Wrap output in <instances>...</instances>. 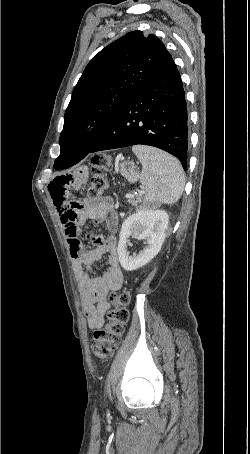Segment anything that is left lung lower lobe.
<instances>
[{"mask_svg": "<svg viewBox=\"0 0 250 454\" xmlns=\"http://www.w3.org/2000/svg\"><path fill=\"white\" fill-rule=\"evenodd\" d=\"M137 144L169 152L186 170L188 116L181 77L172 58L122 107L88 154ZM86 155L63 154L54 168H69Z\"/></svg>", "mask_w": 250, "mask_h": 454, "instance_id": "1", "label": "left lung lower lobe"}]
</instances>
